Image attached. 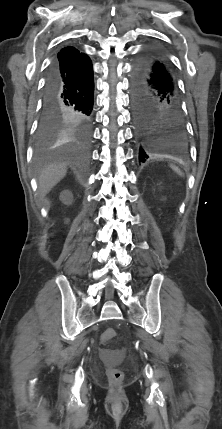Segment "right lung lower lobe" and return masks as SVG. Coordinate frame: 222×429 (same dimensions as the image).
<instances>
[{"mask_svg":"<svg viewBox=\"0 0 222 429\" xmlns=\"http://www.w3.org/2000/svg\"><path fill=\"white\" fill-rule=\"evenodd\" d=\"M94 81L89 57L74 47L63 48L46 75L39 126L87 134L93 108Z\"/></svg>","mask_w":222,"mask_h":429,"instance_id":"obj_1","label":"right lung lower lobe"}]
</instances>
